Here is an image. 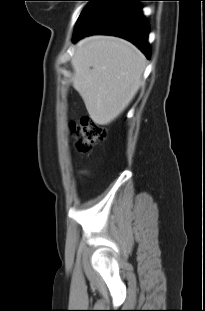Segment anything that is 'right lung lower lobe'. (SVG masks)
Wrapping results in <instances>:
<instances>
[{
    "label": "right lung lower lobe",
    "mask_w": 205,
    "mask_h": 311,
    "mask_svg": "<svg viewBox=\"0 0 205 311\" xmlns=\"http://www.w3.org/2000/svg\"><path fill=\"white\" fill-rule=\"evenodd\" d=\"M139 1L91 0L79 18L73 42L91 34L119 36L135 44L149 59V24Z\"/></svg>",
    "instance_id": "right-lung-lower-lobe-1"
}]
</instances>
